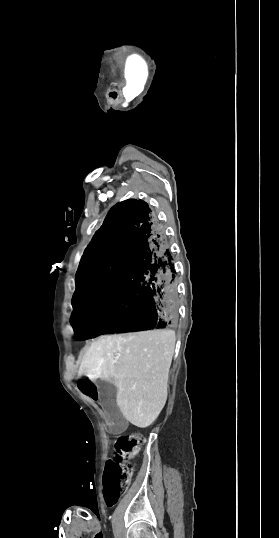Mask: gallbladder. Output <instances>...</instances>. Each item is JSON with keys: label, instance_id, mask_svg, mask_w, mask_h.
Listing matches in <instances>:
<instances>
[{"label": "gallbladder", "instance_id": "gallbladder-1", "mask_svg": "<svg viewBox=\"0 0 279 538\" xmlns=\"http://www.w3.org/2000/svg\"><path fill=\"white\" fill-rule=\"evenodd\" d=\"M99 390H101V403L102 410H107V418L111 424V431L113 433H122L127 425V420L123 417L119 407L115 406L117 388L111 382L106 380H97L95 382Z\"/></svg>", "mask_w": 279, "mask_h": 538}]
</instances>
